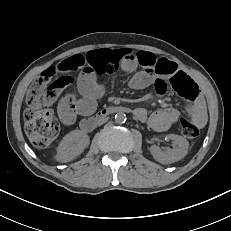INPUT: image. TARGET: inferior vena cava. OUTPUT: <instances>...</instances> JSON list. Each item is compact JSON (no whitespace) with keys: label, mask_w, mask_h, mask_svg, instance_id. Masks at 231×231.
Instances as JSON below:
<instances>
[{"label":"inferior vena cava","mask_w":231,"mask_h":231,"mask_svg":"<svg viewBox=\"0 0 231 231\" xmlns=\"http://www.w3.org/2000/svg\"><path fill=\"white\" fill-rule=\"evenodd\" d=\"M111 120L112 118L110 116L100 118V120H98V126H103L104 124H106L107 122H110Z\"/></svg>","instance_id":"obj_1"}]
</instances>
